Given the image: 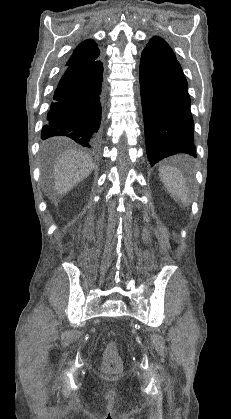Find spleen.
Segmentation results:
<instances>
[{"mask_svg":"<svg viewBox=\"0 0 231 419\" xmlns=\"http://www.w3.org/2000/svg\"><path fill=\"white\" fill-rule=\"evenodd\" d=\"M159 176L168 193L174 199H178L183 204H187L188 190L183 174L172 166H163L159 170Z\"/></svg>","mask_w":231,"mask_h":419,"instance_id":"3e777b00","label":"spleen"}]
</instances>
